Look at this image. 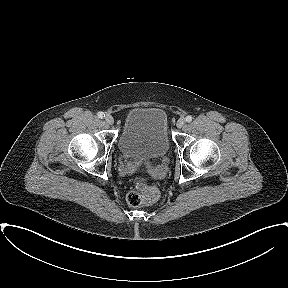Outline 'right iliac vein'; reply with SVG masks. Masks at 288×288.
Returning <instances> with one entry per match:
<instances>
[{
	"mask_svg": "<svg viewBox=\"0 0 288 288\" xmlns=\"http://www.w3.org/2000/svg\"><path fill=\"white\" fill-rule=\"evenodd\" d=\"M105 121H106L108 124L112 125V124L114 123V118H113L111 115L107 114V115L105 116Z\"/></svg>",
	"mask_w": 288,
	"mask_h": 288,
	"instance_id": "63e3f726",
	"label": "right iliac vein"
}]
</instances>
